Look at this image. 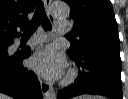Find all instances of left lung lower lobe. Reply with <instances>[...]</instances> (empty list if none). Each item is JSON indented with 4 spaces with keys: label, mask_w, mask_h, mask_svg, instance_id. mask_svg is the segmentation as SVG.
I'll return each mask as SVG.
<instances>
[{
    "label": "left lung lower lobe",
    "mask_w": 128,
    "mask_h": 99,
    "mask_svg": "<svg viewBox=\"0 0 128 99\" xmlns=\"http://www.w3.org/2000/svg\"><path fill=\"white\" fill-rule=\"evenodd\" d=\"M70 57L78 66L79 75L74 84L59 91L58 99L82 94L123 99L120 46L98 44L87 48L81 55Z\"/></svg>",
    "instance_id": "obj_1"
}]
</instances>
